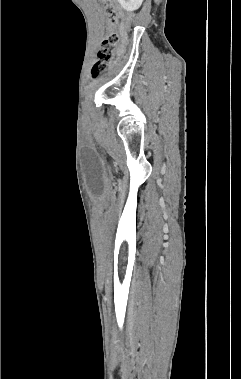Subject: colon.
Instances as JSON below:
<instances>
[{
    "instance_id": "1",
    "label": "colon",
    "mask_w": 241,
    "mask_h": 379,
    "mask_svg": "<svg viewBox=\"0 0 241 379\" xmlns=\"http://www.w3.org/2000/svg\"><path fill=\"white\" fill-rule=\"evenodd\" d=\"M105 6V12L112 23L118 20L123 21L126 30H133V20L136 19L135 13L123 12L120 14L114 0H101ZM120 42V34L118 31L113 30L108 33L101 42L100 49L97 54L96 62L93 66V75L97 76L102 73L113 61L117 46Z\"/></svg>"
}]
</instances>
